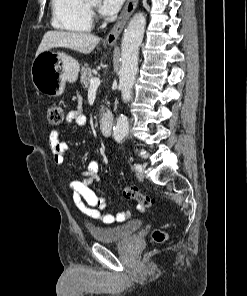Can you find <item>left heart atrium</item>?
Wrapping results in <instances>:
<instances>
[{
	"label": "left heart atrium",
	"instance_id": "1",
	"mask_svg": "<svg viewBox=\"0 0 247 296\" xmlns=\"http://www.w3.org/2000/svg\"><path fill=\"white\" fill-rule=\"evenodd\" d=\"M125 0H102L100 3V11L104 15H113L117 13Z\"/></svg>",
	"mask_w": 247,
	"mask_h": 296
}]
</instances>
